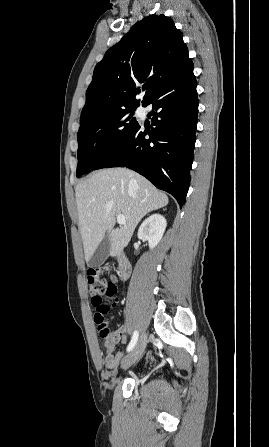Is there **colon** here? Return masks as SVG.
I'll use <instances>...</instances> for the list:
<instances>
[{"label": "colon", "instance_id": "5ec220e1", "mask_svg": "<svg viewBox=\"0 0 269 447\" xmlns=\"http://www.w3.org/2000/svg\"><path fill=\"white\" fill-rule=\"evenodd\" d=\"M89 293L92 295L91 302L97 307L95 321L99 323V334L103 339H113L115 332L110 329V325L105 320V315L109 312L110 307L101 303L99 296L112 295L116 291L117 278L105 273L103 274L97 267H94L86 274Z\"/></svg>", "mask_w": 269, "mask_h": 447}]
</instances>
